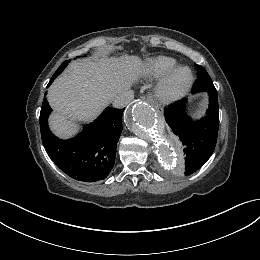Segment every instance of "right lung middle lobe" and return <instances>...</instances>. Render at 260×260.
<instances>
[{"mask_svg": "<svg viewBox=\"0 0 260 260\" xmlns=\"http://www.w3.org/2000/svg\"><path fill=\"white\" fill-rule=\"evenodd\" d=\"M68 62L69 61H65L63 64H61V66L57 69V71L54 74L56 77L64 70V68L67 66Z\"/></svg>", "mask_w": 260, "mask_h": 260, "instance_id": "right-lung-middle-lobe-1", "label": "right lung middle lobe"}]
</instances>
